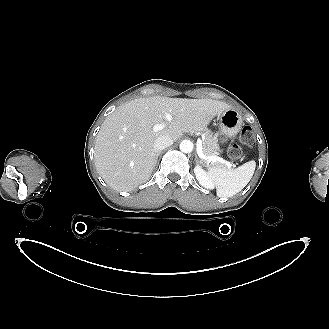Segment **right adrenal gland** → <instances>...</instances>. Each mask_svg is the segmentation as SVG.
Returning <instances> with one entry per match:
<instances>
[{
    "label": "right adrenal gland",
    "mask_w": 329,
    "mask_h": 329,
    "mask_svg": "<svg viewBox=\"0 0 329 329\" xmlns=\"http://www.w3.org/2000/svg\"><path fill=\"white\" fill-rule=\"evenodd\" d=\"M160 153H161V152H157V154H156V162H157V160H158V156L160 155Z\"/></svg>",
    "instance_id": "1"
}]
</instances>
